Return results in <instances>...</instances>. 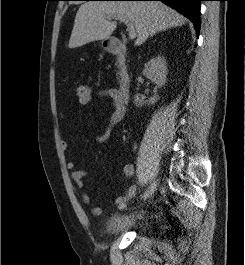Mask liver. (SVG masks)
<instances>
[{
	"label": "liver",
	"mask_w": 245,
	"mask_h": 265,
	"mask_svg": "<svg viewBox=\"0 0 245 265\" xmlns=\"http://www.w3.org/2000/svg\"><path fill=\"white\" fill-rule=\"evenodd\" d=\"M120 15L133 23L137 32L136 46L160 31L182 26L186 19L161 2L88 1L82 4L75 17L69 48L108 39L116 29L109 17Z\"/></svg>",
	"instance_id": "6515ba94"
}]
</instances>
